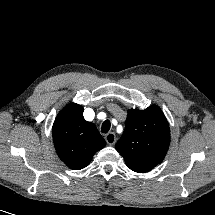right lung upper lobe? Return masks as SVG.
<instances>
[{
    "mask_svg": "<svg viewBox=\"0 0 215 215\" xmlns=\"http://www.w3.org/2000/svg\"><path fill=\"white\" fill-rule=\"evenodd\" d=\"M53 142L59 158L71 169L86 167L106 142L96 126L83 117V107L70 103L57 115Z\"/></svg>",
    "mask_w": 215,
    "mask_h": 215,
    "instance_id": "obj_1",
    "label": "right lung upper lobe"
}]
</instances>
